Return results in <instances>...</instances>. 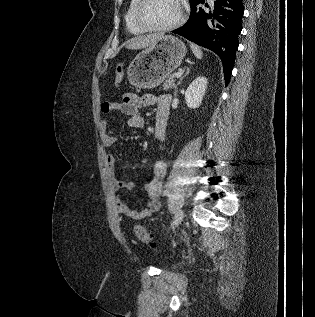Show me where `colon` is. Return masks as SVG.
Segmentation results:
<instances>
[{
    "label": "colon",
    "instance_id": "colon-1",
    "mask_svg": "<svg viewBox=\"0 0 315 317\" xmlns=\"http://www.w3.org/2000/svg\"><path fill=\"white\" fill-rule=\"evenodd\" d=\"M123 76H124V65L119 64L115 70V76H114L115 85H118L119 83H121ZM135 234L141 242L147 245L153 244L150 234L147 232V230L143 226L141 225L136 226Z\"/></svg>",
    "mask_w": 315,
    "mask_h": 317
}]
</instances>
